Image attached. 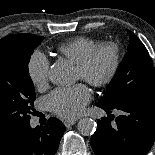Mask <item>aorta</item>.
Instances as JSON below:
<instances>
[{"instance_id":"1","label":"aorta","mask_w":155,"mask_h":155,"mask_svg":"<svg viewBox=\"0 0 155 155\" xmlns=\"http://www.w3.org/2000/svg\"><path fill=\"white\" fill-rule=\"evenodd\" d=\"M49 80L59 86H64L72 83L73 69L65 61L56 62L51 66L49 71ZM78 131L84 135H92L96 130V122L88 117L82 118L77 124Z\"/></svg>"}]
</instances>
